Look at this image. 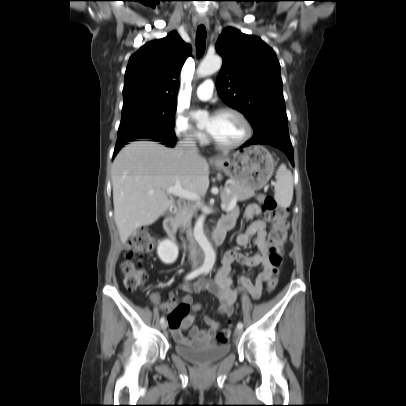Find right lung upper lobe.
Returning <instances> with one entry per match:
<instances>
[{"label": "right lung upper lobe", "mask_w": 406, "mask_h": 406, "mask_svg": "<svg viewBox=\"0 0 406 406\" xmlns=\"http://www.w3.org/2000/svg\"><path fill=\"white\" fill-rule=\"evenodd\" d=\"M191 48L173 31L142 46L125 73L124 105H176L178 76Z\"/></svg>", "instance_id": "1"}]
</instances>
